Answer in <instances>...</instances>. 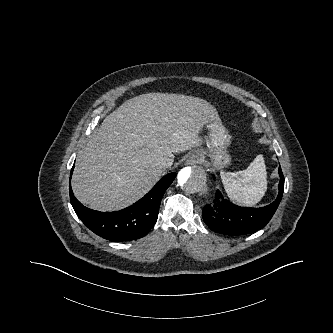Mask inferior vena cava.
<instances>
[{
	"label": "inferior vena cava",
	"mask_w": 333,
	"mask_h": 333,
	"mask_svg": "<svg viewBox=\"0 0 333 333\" xmlns=\"http://www.w3.org/2000/svg\"><path fill=\"white\" fill-rule=\"evenodd\" d=\"M157 167L160 169V170H165L166 168L169 167V164L166 162V161H159L157 163Z\"/></svg>",
	"instance_id": "inferior-vena-cava-1"
}]
</instances>
